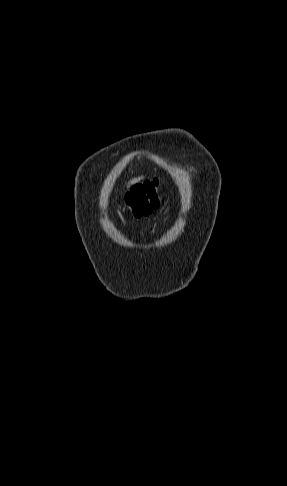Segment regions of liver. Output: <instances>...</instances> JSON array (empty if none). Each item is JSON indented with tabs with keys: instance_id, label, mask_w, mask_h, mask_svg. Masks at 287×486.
I'll list each match as a JSON object with an SVG mask.
<instances>
[{
	"instance_id": "obj_1",
	"label": "liver",
	"mask_w": 287,
	"mask_h": 486,
	"mask_svg": "<svg viewBox=\"0 0 287 486\" xmlns=\"http://www.w3.org/2000/svg\"><path fill=\"white\" fill-rule=\"evenodd\" d=\"M142 178H143V177L134 178V179H132V180L129 182V184H135V183L139 182V181H140Z\"/></svg>"
}]
</instances>
